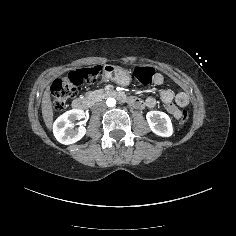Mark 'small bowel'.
I'll use <instances>...</instances> for the list:
<instances>
[{
	"label": "small bowel",
	"instance_id": "c3829d8e",
	"mask_svg": "<svg viewBox=\"0 0 236 236\" xmlns=\"http://www.w3.org/2000/svg\"><path fill=\"white\" fill-rule=\"evenodd\" d=\"M163 81V77L161 74L157 73L153 79V82L157 85L161 84ZM163 98L165 103L168 105L169 111L173 114L175 118H179L181 115V111L178 107L171 105L172 93L170 91H165L163 93ZM178 106H186L188 104V98L185 94L181 93L177 97ZM148 107H153L155 105V99L153 97H149L146 101Z\"/></svg>",
	"mask_w": 236,
	"mask_h": 236
}]
</instances>
